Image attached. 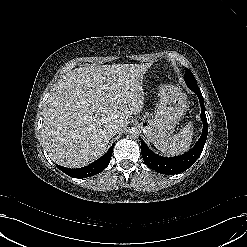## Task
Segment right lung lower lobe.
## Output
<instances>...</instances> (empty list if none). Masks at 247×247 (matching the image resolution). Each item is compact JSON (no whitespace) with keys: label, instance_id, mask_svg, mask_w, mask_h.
I'll use <instances>...</instances> for the list:
<instances>
[{"label":"right lung lower lobe","instance_id":"1","mask_svg":"<svg viewBox=\"0 0 247 247\" xmlns=\"http://www.w3.org/2000/svg\"><path fill=\"white\" fill-rule=\"evenodd\" d=\"M114 145L115 143L110 147V149L107 151V153H105L104 156H102L100 159L96 160L95 162L91 163L86 167L77 168V169H70L59 165H57V167L65 174L69 175L70 177L85 178V177L93 176L95 174L102 172L108 166L112 156Z\"/></svg>","mask_w":247,"mask_h":247}]
</instances>
